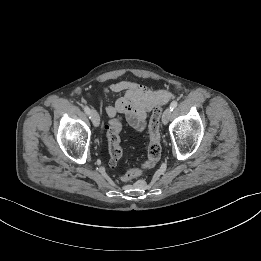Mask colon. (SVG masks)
I'll return each instance as SVG.
<instances>
[{"label":"colon","mask_w":261,"mask_h":261,"mask_svg":"<svg viewBox=\"0 0 261 261\" xmlns=\"http://www.w3.org/2000/svg\"><path fill=\"white\" fill-rule=\"evenodd\" d=\"M161 106L156 105L150 117L148 131H149V145L147 149V159L141 164L140 169H132L127 171L123 176V181H130L137 178L142 170H147L154 167L161 158V134H160V115ZM122 124L117 118L110 119L106 127L108 139L109 164L115 166L121 159L123 151L120 144V132Z\"/></svg>","instance_id":"obj_1"}]
</instances>
